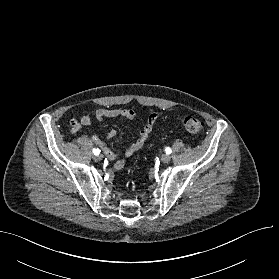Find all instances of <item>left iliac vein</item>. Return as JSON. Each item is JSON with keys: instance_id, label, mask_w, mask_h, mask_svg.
Instances as JSON below:
<instances>
[{"instance_id": "left-iliac-vein-1", "label": "left iliac vein", "mask_w": 279, "mask_h": 279, "mask_svg": "<svg viewBox=\"0 0 279 279\" xmlns=\"http://www.w3.org/2000/svg\"><path fill=\"white\" fill-rule=\"evenodd\" d=\"M160 159H161L162 162L168 163L171 160V157L169 155H167V154H162L160 156Z\"/></svg>"}]
</instances>
